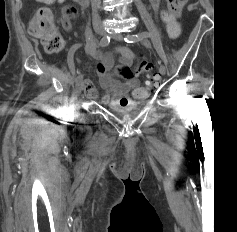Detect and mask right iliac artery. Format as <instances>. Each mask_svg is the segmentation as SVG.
<instances>
[{"mask_svg": "<svg viewBox=\"0 0 237 232\" xmlns=\"http://www.w3.org/2000/svg\"><path fill=\"white\" fill-rule=\"evenodd\" d=\"M110 42V37L108 35H105L104 37H102L99 45L101 47H105L109 44ZM82 44H74L69 52H68V55H67V63H68V66L70 68V71L72 72L73 75H75V65H74V53L75 51L81 46ZM78 73V71H77Z\"/></svg>", "mask_w": 237, "mask_h": 232, "instance_id": "obj_1", "label": "right iliac artery"}]
</instances>
